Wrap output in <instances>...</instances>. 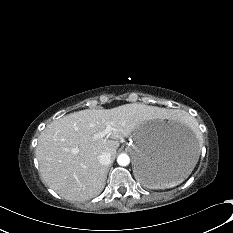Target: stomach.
<instances>
[{
  "mask_svg": "<svg viewBox=\"0 0 233 233\" xmlns=\"http://www.w3.org/2000/svg\"><path fill=\"white\" fill-rule=\"evenodd\" d=\"M130 149L135 177L151 188L182 182L199 157L197 140L188 129L154 121L133 131Z\"/></svg>",
  "mask_w": 233,
  "mask_h": 233,
  "instance_id": "stomach-1",
  "label": "stomach"
}]
</instances>
